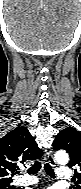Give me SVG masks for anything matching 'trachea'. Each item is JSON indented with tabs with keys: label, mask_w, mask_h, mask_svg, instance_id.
I'll return each mask as SVG.
<instances>
[{
	"label": "trachea",
	"mask_w": 81,
	"mask_h": 189,
	"mask_svg": "<svg viewBox=\"0 0 81 189\" xmlns=\"http://www.w3.org/2000/svg\"><path fill=\"white\" fill-rule=\"evenodd\" d=\"M41 168V162L39 161H36L34 163L33 166H31L28 170H27V173L30 174V175H34L36 174ZM44 170L45 172L50 176V177H55V174H54V171L52 169V167L48 164V163H45L44 164Z\"/></svg>",
	"instance_id": "obj_1"
}]
</instances>
